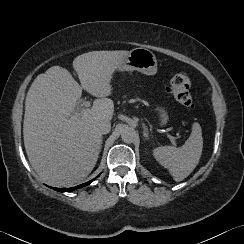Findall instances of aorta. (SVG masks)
<instances>
[{
  "instance_id": "obj_1",
  "label": "aorta",
  "mask_w": 244,
  "mask_h": 244,
  "mask_svg": "<svg viewBox=\"0 0 244 244\" xmlns=\"http://www.w3.org/2000/svg\"><path fill=\"white\" fill-rule=\"evenodd\" d=\"M136 131L132 127H124L121 131V138L125 143H132L135 140Z\"/></svg>"
}]
</instances>
